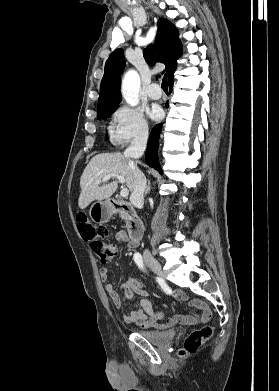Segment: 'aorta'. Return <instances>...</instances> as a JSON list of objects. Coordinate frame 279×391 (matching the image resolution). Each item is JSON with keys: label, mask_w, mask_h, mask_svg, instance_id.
Masks as SVG:
<instances>
[{"label": "aorta", "mask_w": 279, "mask_h": 391, "mask_svg": "<svg viewBox=\"0 0 279 391\" xmlns=\"http://www.w3.org/2000/svg\"><path fill=\"white\" fill-rule=\"evenodd\" d=\"M140 89V77L135 70L125 73L121 92L122 96L130 106L134 107L139 103L138 93Z\"/></svg>", "instance_id": "762f6f07"}]
</instances>
